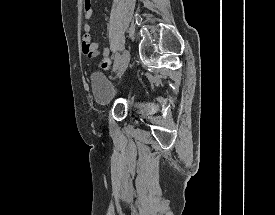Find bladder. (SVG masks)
Returning <instances> with one entry per match:
<instances>
[{
	"instance_id": "bladder-1",
	"label": "bladder",
	"mask_w": 275,
	"mask_h": 215,
	"mask_svg": "<svg viewBox=\"0 0 275 215\" xmlns=\"http://www.w3.org/2000/svg\"><path fill=\"white\" fill-rule=\"evenodd\" d=\"M91 87L95 101L100 106L109 105L120 97L119 89L113 87L109 77L102 72L95 71L91 74Z\"/></svg>"
}]
</instances>
